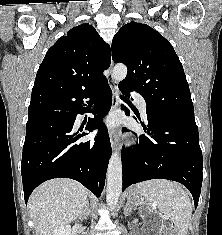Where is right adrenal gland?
<instances>
[{
    "label": "right adrenal gland",
    "instance_id": "obj_1",
    "mask_svg": "<svg viewBox=\"0 0 222 235\" xmlns=\"http://www.w3.org/2000/svg\"><path fill=\"white\" fill-rule=\"evenodd\" d=\"M89 212H90V210H89V201L87 200L86 204L84 206V209H83L82 213L80 214L79 218L80 219H86L89 215Z\"/></svg>",
    "mask_w": 222,
    "mask_h": 235
}]
</instances>
